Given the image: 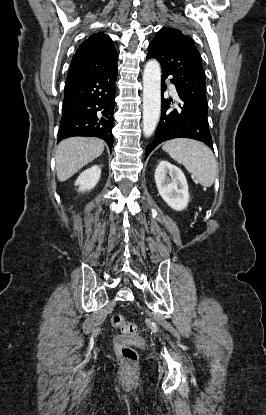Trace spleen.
Here are the masks:
<instances>
[{"label": "spleen", "mask_w": 266, "mask_h": 415, "mask_svg": "<svg viewBox=\"0 0 266 415\" xmlns=\"http://www.w3.org/2000/svg\"><path fill=\"white\" fill-rule=\"evenodd\" d=\"M162 149L172 159L184 165L201 186H212L218 167L212 151L206 145L191 139H174L167 141Z\"/></svg>", "instance_id": "obj_1"}]
</instances>
